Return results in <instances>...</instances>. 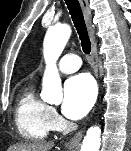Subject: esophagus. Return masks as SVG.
<instances>
[{"label": "esophagus", "mask_w": 131, "mask_h": 151, "mask_svg": "<svg viewBox=\"0 0 131 151\" xmlns=\"http://www.w3.org/2000/svg\"><path fill=\"white\" fill-rule=\"evenodd\" d=\"M79 1L82 7L86 27H87L89 38L91 41V65H92L95 77L98 78L97 43L95 40L94 26L92 24L91 10L89 8L88 0H79ZM82 137H83V130H80L68 142V146L69 147L77 146L80 143Z\"/></svg>", "instance_id": "1"}]
</instances>
